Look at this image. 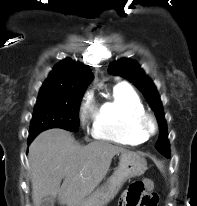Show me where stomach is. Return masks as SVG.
<instances>
[{
    "mask_svg": "<svg viewBox=\"0 0 197 206\" xmlns=\"http://www.w3.org/2000/svg\"><path fill=\"white\" fill-rule=\"evenodd\" d=\"M119 160L117 170L108 181L75 206H105L116 196L128 179L142 175L147 169L145 158L137 153L122 152Z\"/></svg>",
    "mask_w": 197,
    "mask_h": 206,
    "instance_id": "1",
    "label": "stomach"
}]
</instances>
